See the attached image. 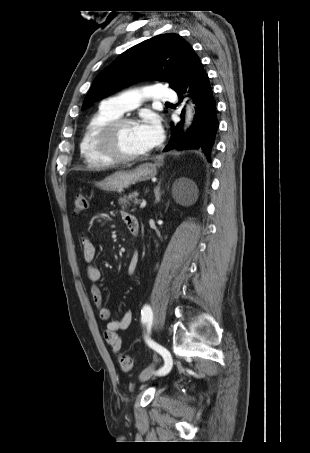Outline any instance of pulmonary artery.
<instances>
[{
	"label": "pulmonary artery",
	"mask_w": 310,
	"mask_h": 453,
	"mask_svg": "<svg viewBox=\"0 0 310 453\" xmlns=\"http://www.w3.org/2000/svg\"><path fill=\"white\" fill-rule=\"evenodd\" d=\"M144 98H152L158 101H173L176 99L174 90L158 84L143 90H130L117 94L103 102V106L118 115L136 108Z\"/></svg>",
	"instance_id": "obj_1"
}]
</instances>
